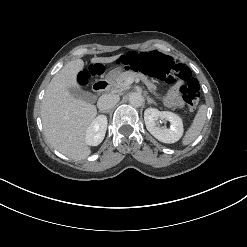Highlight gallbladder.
<instances>
[{
	"label": "gallbladder",
	"instance_id": "bac80fb5",
	"mask_svg": "<svg viewBox=\"0 0 247 247\" xmlns=\"http://www.w3.org/2000/svg\"><path fill=\"white\" fill-rule=\"evenodd\" d=\"M69 92L76 99H80L86 102H92L94 100V95L92 93L79 88H69Z\"/></svg>",
	"mask_w": 247,
	"mask_h": 247
}]
</instances>
